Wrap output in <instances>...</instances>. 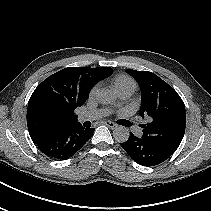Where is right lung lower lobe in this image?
Returning a JSON list of instances; mask_svg holds the SVG:
<instances>
[{
  "mask_svg": "<svg viewBox=\"0 0 211 211\" xmlns=\"http://www.w3.org/2000/svg\"><path fill=\"white\" fill-rule=\"evenodd\" d=\"M94 128H84L80 123L58 129L35 142L46 156L66 160L77 153L92 137Z\"/></svg>",
  "mask_w": 211,
  "mask_h": 211,
  "instance_id": "98d812e1",
  "label": "right lung lower lobe"
}]
</instances>
